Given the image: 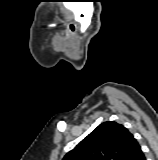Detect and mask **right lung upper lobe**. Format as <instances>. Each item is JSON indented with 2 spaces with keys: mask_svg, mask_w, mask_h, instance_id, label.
<instances>
[{
  "mask_svg": "<svg viewBox=\"0 0 158 160\" xmlns=\"http://www.w3.org/2000/svg\"><path fill=\"white\" fill-rule=\"evenodd\" d=\"M141 152L128 129L110 121L100 124L63 160H135Z\"/></svg>",
  "mask_w": 158,
  "mask_h": 160,
  "instance_id": "right-lung-upper-lobe-1",
  "label": "right lung upper lobe"
}]
</instances>
